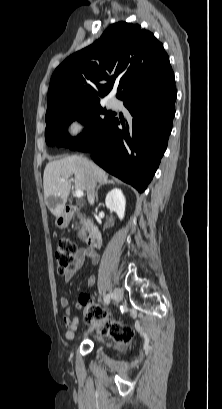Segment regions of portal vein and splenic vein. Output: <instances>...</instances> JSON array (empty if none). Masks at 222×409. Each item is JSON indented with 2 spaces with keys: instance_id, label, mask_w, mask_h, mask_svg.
<instances>
[{
  "instance_id": "portal-vein-and-splenic-vein-1",
  "label": "portal vein and splenic vein",
  "mask_w": 222,
  "mask_h": 409,
  "mask_svg": "<svg viewBox=\"0 0 222 409\" xmlns=\"http://www.w3.org/2000/svg\"><path fill=\"white\" fill-rule=\"evenodd\" d=\"M64 180H65V178H61V181H64ZM83 195H84V193H83L82 190H76V191H75V196H76L77 198H82Z\"/></svg>"
}]
</instances>
